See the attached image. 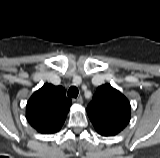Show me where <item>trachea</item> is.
Listing matches in <instances>:
<instances>
[{
  "instance_id": "1",
  "label": "trachea",
  "mask_w": 160,
  "mask_h": 158,
  "mask_svg": "<svg viewBox=\"0 0 160 158\" xmlns=\"http://www.w3.org/2000/svg\"><path fill=\"white\" fill-rule=\"evenodd\" d=\"M78 93H79L78 88L75 87V86H72V87L69 88L67 95L69 97L76 98L78 96Z\"/></svg>"
}]
</instances>
